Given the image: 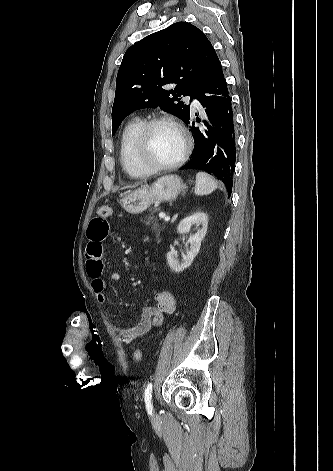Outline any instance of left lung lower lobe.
I'll return each mask as SVG.
<instances>
[{
  "instance_id": "obj_1",
  "label": "left lung lower lobe",
  "mask_w": 333,
  "mask_h": 471,
  "mask_svg": "<svg viewBox=\"0 0 333 471\" xmlns=\"http://www.w3.org/2000/svg\"><path fill=\"white\" fill-rule=\"evenodd\" d=\"M195 98L205 107L209 123L200 130L190 126L195 141V151L191 160L181 167L184 169H201L218 177L231 195L233 171L236 157V125L231 97L221 63L216 55L210 69L199 85ZM197 122L200 119L196 118Z\"/></svg>"
}]
</instances>
